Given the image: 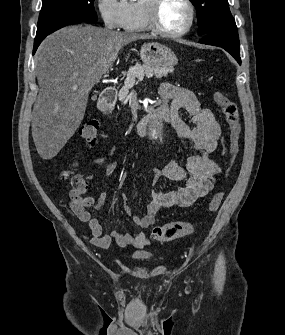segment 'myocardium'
<instances>
[{
    "label": "myocardium",
    "instance_id": "f54148a6",
    "mask_svg": "<svg viewBox=\"0 0 285 335\" xmlns=\"http://www.w3.org/2000/svg\"><path fill=\"white\" fill-rule=\"evenodd\" d=\"M165 2L166 1H148L149 3V8H148L149 27L154 33L160 36H163V37H167V38L180 37L184 35L185 33H187L193 25L194 10H193L192 3L190 1H179L182 4H184L189 11L188 22L181 29L176 30V31H171V30L166 29L161 22V9Z\"/></svg>",
    "mask_w": 285,
    "mask_h": 335
}]
</instances>
